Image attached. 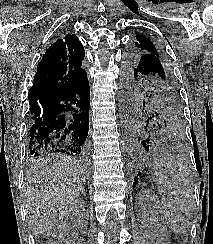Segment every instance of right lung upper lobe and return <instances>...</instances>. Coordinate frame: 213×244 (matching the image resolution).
Instances as JSON below:
<instances>
[{
	"mask_svg": "<svg viewBox=\"0 0 213 244\" xmlns=\"http://www.w3.org/2000/svg\"><path fill=\"white\" fill-rule=\"evenodd\" d=\"M84 56L79 39L62 33L39 62L29 99L63 92L74 86L86 73L82 68Z\"/></svg>",
	"mask_w": 213,
	"mask_h": 244,
	"instance_id": "1",
	"label": "right lung upper lobe"
}]
</instances>
